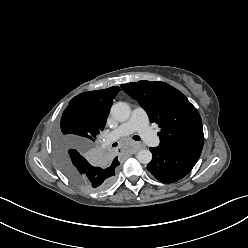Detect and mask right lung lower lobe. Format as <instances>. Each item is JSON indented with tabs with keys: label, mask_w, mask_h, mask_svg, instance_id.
<instances>
[{
	"label": "right lung lower lobe",
	"mask_w": 248,
	"mask_h": 248,
	"mask_svg": "<svg viewBox=\"0 0 248 248\" xmlns=\"http://www.w3.org/2000/svg\"><path fill=\"white\" fill-rule=\"evenodd\" d=\"M73 151L69 154V158L70 160L72 161V163H75V164H78L79 163V155L80 153L75 150V149H72Z\"/></svg>",
	"instance_id": "right-lung-lower-lobe-1"
}]
</instances>
